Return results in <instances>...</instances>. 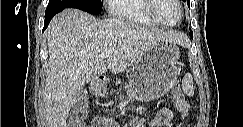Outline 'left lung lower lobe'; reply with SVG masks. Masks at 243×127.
<instances>
[{
  "label": "left lung lower lobe",
  "instance_id": "1",
  "mask_svg": "<svg viewBox=\"0 0 243 127\" xmlns=\"http://www.w3.org/2000/svg\"><path fill=\"white\" fill-rule=\"evenodd\" d=\"M190 36H191V38L193 37V33H192V31H190Z\"/></svg>",
  "mask_w": 243,
  "mask_h": 127
}]
</instances>
